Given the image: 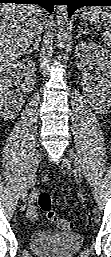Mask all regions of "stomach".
Returning a JSON list of instances; mask_svg holds the SVG:
<instances>
[{
	"label": "stomach",
	"mask_w": 111,
	"mask_h": 257,
	"mask_svg": "<svg viewBox=\"0 0 111 257\" xmlns=\"http://www.w3.org/2000/svg\"><path fill=\"white\" fill-rule=\"evenodd\" d=\"M82 19L85 20V21H90V22H94V21H91V8L90 9H85L83 11V14H82ZM101 20V18H99L98 20H96V23L99 22ZM102 21V20H101Z\"/></svg>",
	"instance_id": "obj_1"
}]
</instances>
